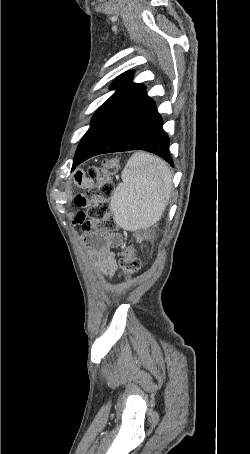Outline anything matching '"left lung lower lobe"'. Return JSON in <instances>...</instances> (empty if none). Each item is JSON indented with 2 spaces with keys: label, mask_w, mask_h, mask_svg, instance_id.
Returning <instances> with one entry per match:
<instances>
[{
  "label": "left lung lower lobe",
  "mask_w": 250,
  "mask_h": 454,
  "mask_svg": "<svg viewBox=\"0 0 250 454\" xmlns=\"http://www.w3.org/2000/svg\"><path fill=\"white\" fill-rule=\"evenodd\" d=\"M162 125L154 101L143 88L100 125L83 153L74 158L72 170L95 155L135 149L154 153L173 166Z\"/></svg>",
  "instance_id": "0a47b994"
}]
</instances>
